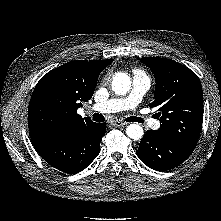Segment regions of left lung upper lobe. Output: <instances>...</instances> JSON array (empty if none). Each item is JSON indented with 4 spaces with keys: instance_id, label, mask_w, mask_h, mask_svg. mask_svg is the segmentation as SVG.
Returning <instances> with one entry per match:
<instances>
[{
    "instance_id": "5c2ea615",
    "label": "left lung upper lobe",
    "mask_w": 221,
    "mask_h": 221,
    "mask_svg": "<svg viewBox=\"0 0 221 221\" xmlns=\"http://www.w3.org/2000/svg\"><path fill=\"white\" fill-rule=\"evenodd\" d=\"M156 79L149 105L158 107L161 126L156 133L195 148L203 122V93L198 76L188 67L170 59L144 57Z\"/></svg>"
}]
</instances>
